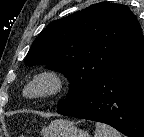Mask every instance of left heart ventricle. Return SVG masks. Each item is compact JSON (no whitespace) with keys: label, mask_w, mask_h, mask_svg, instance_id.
I'll return each mask as SVG.
<instances>
[{"label":"left heart ventricle","mask_w":144,"mask_h":137,"mask_svg":"<svg viewBox=\"0 0 144 137\" xmlns=\"http://www.w3.org/2000/svg\"><path fill=\"white\" fill-rule=\"evenodd\" d=\"M44 88V85H37L35 89L42 90Z\"/></svg>","instance_id":"b2bd125f"}]
</instances>
